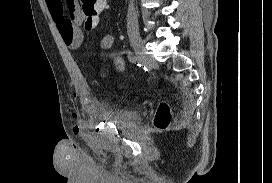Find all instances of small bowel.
Here are the masks:
<instances>
[{"label": "small bowel", "instance_id": "c3829d8e", "mask_svg": "<svg viewBox=\"0 0 272 183\" xmlns=\"http://www.w3.org/2000/svg\"><path fill=\"white\" fill-rule=\"evenodd\" d=\"M51 17L53 18L56 26L61 35L64 44L72 50L78 49L84 40V33L81 29L83 24V19L78 11L74 8L73 13H71L70 18L66 17V4L70 10L71 1L70 0H45ZM114 45V36L107 34L103 36L100 42L102 49H110ZM75 120L80 119V115L77 113L73 114Z\"/></svg>", "mask_w": 272, "mask_h": 183}]
</instances>
